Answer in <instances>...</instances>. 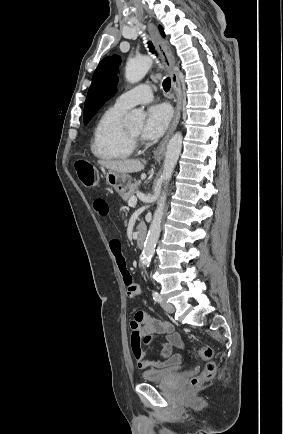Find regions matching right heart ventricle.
<instances>
[{"instance_id":"right-heart-ventricle-1","label":"right heart ventricle","mask_w":283,"mask_h":434,"mask_svg":"<svg viewBox=\"0 0 283 434\" xmlns=\"http://www.w3.org/2000/svg\"><path fill=\"white\" fill-rule=\"evenodd\" d=\"M126 112V109L114 105L98 119L91 140V152L96 158L116 161L133 154L135 146L128 138L123 124Z\"/></svg>"}]
</instances>
